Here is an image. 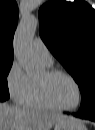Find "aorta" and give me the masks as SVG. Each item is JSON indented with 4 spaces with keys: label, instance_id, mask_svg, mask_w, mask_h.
<instances>
[{
    "label": "aorta",
    "instance_id": "762f6f07",
    "mask_svg": "<svg viewBox=\"0 0 95 130\" xmlns=\"http://www.w3.org/2000/svg\"><path fill=\"white\" fill-rule=\"evenodd\" d=\"M38 19L32 15L23 17L14 37V53L30 77L39 72V65L33 53L32 40L38 26Z\"/></svg>",
    "mask_w": 95,
    "mask_h": 130
}]
</instances>
